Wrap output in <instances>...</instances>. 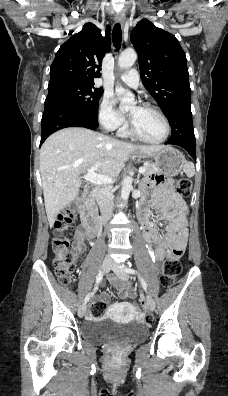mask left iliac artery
<instances>
[{"instance_id": "obj_1", "label": "left iliac artery", "mask_w": 228, "mask_h": 396, "mask_svg": "<svg viewBox=\"0 0 228 396\" xmlns=\"http://www.w3.org/2000/svg\"><path fill=\"white\" fill-rule=\"evenodd\" d=\"M125 271H126L127 273H129V274H137L138 277H139V279H140V281H141V284H142L143 289H144L145 291H147V283L144 281V279L140 276V274H139L135 269L130 268V266H129V267H127V268L125 269Z\"/></svg>"}]
</instances>
